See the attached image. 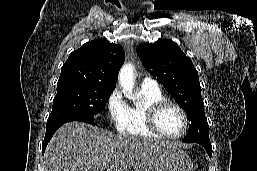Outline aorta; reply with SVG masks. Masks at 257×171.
<instances>
[{"label": "aorta", "mask_w": 257, "mask_h": 171, "mask_svg": "<svg viewBox=\"0 0 257 171\" xmlns=\"http://www.w3.org/2000/svg\"><path fill=\"white\" fill-rule=\"evenodd\" d=\"M134 66L132 64H125L119 72V84L126 97L133 99L132 91L134 87Z\"/></svg>", "instance_id": "aorta-1"}]
</instances>
